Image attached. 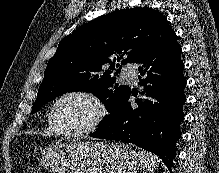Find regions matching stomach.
Returning a JSON list of instances; mask_svg holds the SVG:
<instances>
[{
	"mask_svg": "<svg viewBox=\"0 0 219 173\" xmlns=\"http://www.w3.org/2000/svg\"><path fill=\"white\" fill-rule=\"evenodd\" d=\"M40 162L49 173H133L139 157L121 142H56Z\"/></svg>",
	"mask_w": 219,
	"mask_h": 173,
	"instance_id": "1",
	"label": "stomach"
}]
</instances>
